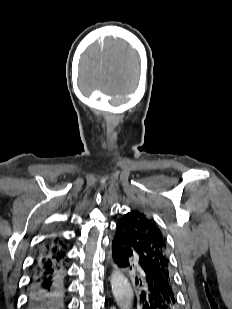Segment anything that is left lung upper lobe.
<instances>
[{"label":"left lung upper lobe","mask_w":232,"mask_h":309,"mask_svg":"<svg viewBox=\"0 0 232 309\" xmlns=\"http://www.w3.org/2000/svg\"><path fill=\"white\" fill-rule=\"evenodd\" d=\"M117 225L122 228L135 256L160 270L168 278L175 295L167 241L155 221L140 211L132 210L123 215Z\"/></svg>","instance_id":"1"}]
</instances>
